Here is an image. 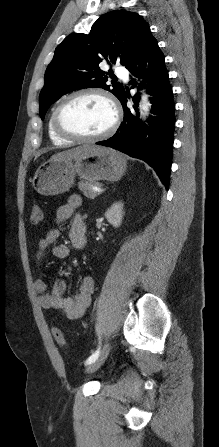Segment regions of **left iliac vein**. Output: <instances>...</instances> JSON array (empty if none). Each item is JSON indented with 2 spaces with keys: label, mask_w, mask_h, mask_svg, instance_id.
I'll use <instances>...</instances> for the list:
<instances>
[{
  "label": "left iliac vein",
  "mask_w": 219,
  "mask_h": 447,
  "mask_svg": "<svg viewBox=\"0 0 219 447\" xmlns=\"http://www.w3.org/2000/svg\"><path fill=\"white\" fill-rule=\"evenodd\" d=\"M110 348H111L110 343L106 342L104 344L99 356L96 358V360L94 362L90 363L86 367V369H85L86 373H93L101 367V365L105 362V360L108 357Z\"/></svg>",
  "instance_id": "1"
}]
</instances>
